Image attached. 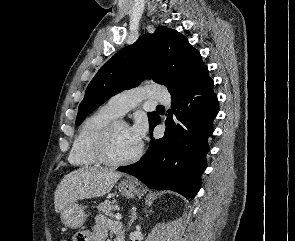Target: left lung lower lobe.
Listing matches in <instances>:
<instances>
[{"instance_id":"left-lung-lower-lobe-1","label":"left lung lower lobe","mask_w":295,"mask_h":241,"mask_svg":"<svg viewBox=\"0 0 295 241\" xmlns=\"http://www.w3.org/2000/svg\"><path fill=\"white\" fill-rule=\"evenodd\" d=\"M171 98L164 137L152 138L138 162L117 170L135 176L151 189L172 190L193 199L206 169L210 150L207 141L213 133L219 102L213 92V80L206 73ZM160 121L158 116L150 127L151 136Z\"/></svg>"}]
</instances>
